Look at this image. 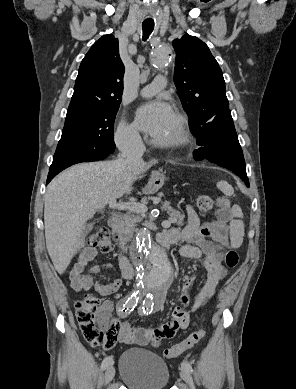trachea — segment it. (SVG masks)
Listing matches in <instances>:
<instances>
[{
  "instance_id": "trachea-1",
  "label": "trachea",
  "mask_w": 296,
  "mask_h": 389,
  "mask_svg": "<svg viewBox=\"0 0 296 389\" xmlns=\"http://www.w3.org/2000/svg\"><path fill=\"white\" fill-rule=\"evenodd\" d=\"M154 29V23L152 22H143L142 23V30H143V40H147L150 34L152 33Z\"/></svg>"
}]
</instances>
